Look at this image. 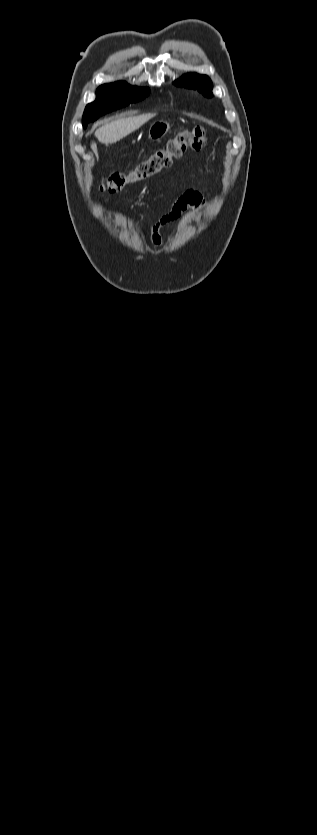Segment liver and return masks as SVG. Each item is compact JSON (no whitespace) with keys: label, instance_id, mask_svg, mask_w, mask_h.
<instances>
[{"label":"liver","instance_id":"6515ba94","mask_svg":"<svg viewBox=\"0 0 317 835\" xmlns=\"http://www.w3.org/2000/svg\"><path fill=\"white\" fill-rule=\"evenodd\" d=\"M153 117L154 115L152 114H142L127 118H120L108 122L98 128L95 132V136L102 144H113L139 129ZM91 148L98 158L96 143L93 142L91 144Z\"/></svg>","mask_w":317,"mask_h":835}]
</instances>
